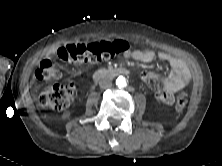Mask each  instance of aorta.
Masks as SVG:
<instances>
[{
    "mask_svg": "<svg viewBox=\"0 0 222 166\" xmlns=\"http://www.w3.org/2000/svg\"><path fill=\"white\" fill-rule=\"evenodd\" d=\"M116 85H117L118 87H120V88L126 87L127 82H126L125 77L119 76V77L116 79Z\"/></svg>",
    "mask_w": 222,
    "mask_h": 166,
    "instance_id": "762f6f07",
    "label": "aorta"
}]
</instances>
